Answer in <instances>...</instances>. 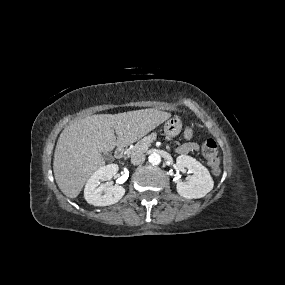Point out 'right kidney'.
<instances>
[{
  "label": "right kidney",
  "mask_w": 285,
  "mask_h": 285,
  "mask_svg": "<svg viewBox=\"0 0 285 285\" xmlns=\"http://www.w3.org/2000/svg\"><path fill=\"white\" fill-rule=\"evenodd\" d=\"M117 171L118 165L109 164L92 174L84 188V198L89 204L108 206L117 203L123 197L125 189L122 186H107L102 183L111 180Z\"/></svg>",
  "instance_id": "1"
}]
</instances>
